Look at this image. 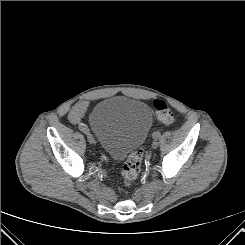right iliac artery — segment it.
<instances>
[{"label": "right iliac artery", "instance_id": "1", "mask_svg": "<svg viewBox=\"0 0 245 245\" xmlns=\"http://www.w3.org/2000/svg\"><path fill=\"white\" fill-rule=\"evenodd\" d=\"M78 128H79V130L82 131L83 133H86V132L89 131L88 128H87L85 125H83V124L79 125Z\"/></svg>", "mask_w": 245, "mask_h": 245}]
</instances>
